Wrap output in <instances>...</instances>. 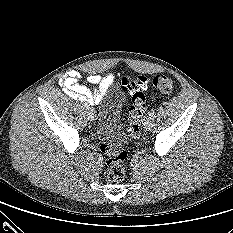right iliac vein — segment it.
<instances>
[{
    "label": "right iliac vein",
    "instance_id": "obj_1",
    "mask_svg": "<svg viewBox=\"0 0 233 233\" xmlns=\"http://www.w3.org/2000/svg\"><path fill=\"white\" fill-rule=\"evenodd\" d=\"M87 113H88L89 119L93 121L95 119V111H94V109L93 108H89L87 110Z\"/></svg>",
    "mask_w": 233,
    "mask_h": 233
}]
</instances>
